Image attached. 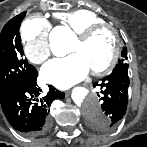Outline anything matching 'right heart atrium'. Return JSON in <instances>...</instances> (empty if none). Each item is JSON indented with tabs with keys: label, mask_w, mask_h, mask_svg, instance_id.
<instances>
[{
	"label": "right heart atrium",
	"mask_w": 147,
	"mask_h": 147,
	"mask_svg": "<svg viewBox=\"0 0 147 147\" xmlns=\"http://www.w3.org/2000/svg\"><path fill=\"white\" fill-rule=\"evenodd\" d=\"M50 23L41 16L27 19L21 27L24 54L34 64L46 61L50 54Z\"/></svg>",
	"instance_id": "1"
}]
</instances>
